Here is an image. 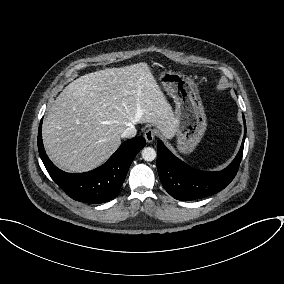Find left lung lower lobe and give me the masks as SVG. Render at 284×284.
<instances>
[{
    "label": "left lung lower lobe",
    "mask_w": 284,
    "mask_h": 284,
    "mask_svg": "<svg viewBox=\"0 0 284 284\" xmlns=\"http://www.w3.org/2000/svg\"><path fill=\"white\" fill-rule=\"evenodd\" d=\"M232 163L222 171L204 172L196 170L176 158L159 140L157 144V169L166 191L175 199L190 201L210 196L223 190L235 177L243 155L246 135Z\"/></svg>",
    "instance_id": "0a47b994"
}]
</instances>
